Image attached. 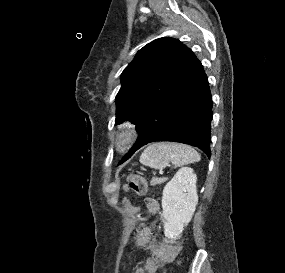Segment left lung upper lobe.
Here are the masks:
<instances>
[{
  "mask_svg": "<svg viewBox=\"0 0 285 273\" xmlns=\"http://www.w3.org/2000/svg\"><path fill=\"white\" fill-rule=\"evenodd\" d=\"M191 50L178 39L163 37L138 51L121 74L116 96L117 124H137L168 92L182 73Z\"/></svg>",
  "mask_w": 285,
  "mask_h": 273,
  "instance_id": "5c2ea615",
  "label": "left lung upper lobe"
}]
</instances>
